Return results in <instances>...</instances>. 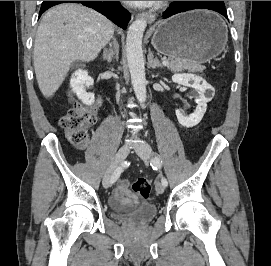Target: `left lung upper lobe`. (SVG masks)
I'll return each instance as SVG.
<instances>
[{
	"label": "left lung upper lobe",
	"mask_w": 271,
	"mask_h": 266,
	"mask_svg": "<svg viewBox=\"0 0 271 266\" xmlns=\"http://www.w3.org/2000/svg\"><path fill=\"white\" fill-rule=\"evenodd\" d=\"M189 2H196L207 7H212L219 10H226L224 1H189Z\"/></svg>",
	"instance_id": "obj_1"
}]
</instances>
